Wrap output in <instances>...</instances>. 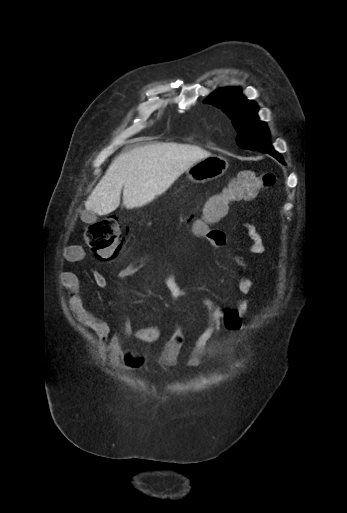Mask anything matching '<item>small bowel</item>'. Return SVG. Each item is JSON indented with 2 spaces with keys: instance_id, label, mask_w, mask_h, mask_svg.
Masks as SVG:
<instances>
[{
  "instance_id": "small-bowel-1",
  "label": "small bowel",
  "mask_w": 347,
  "mask_h": 513,
  "mask_svg": "<svg viewBox=\"0 0 347 513\" xmlns=\"http://www.w3.org/2000/svg\"><path fill=\"white\" fill-rule=\"evenodd\" d=\"M248 249L255 254H263L266 251L263 239L253 223H246ZM196 237L209 242L215 248L224 247L227 244L226 232L217 227H211L201 233H194ZM84 255L80 246H72L67 250V261H78ZM147 256L138 257L119 271V278L127 279L132 277L139 268L147 262ZM94 283L101 288L107 286V280L101 273L92 275ZM59 282L67 292L68 307L75 320L86 329L91 330L101 348L107 349L109 359L122 368L136 370L145 364L143 352H125L123 343L128 339H136L141 343L152 345L158 342L164 335L161 326H146L134 328L127 320L122 324L121 330L111 334L109 323L91 313L83 303L80 295V281L74 273L62 271L59 274ZM163 283L172 297L185 295V289L179 284L176 276L167 271L163 275ZM253 288L252 281L245 275H238L235 283L236 301L234 306H221L212 299L206 298L203 303L207 310V324L205 329L198 336L187 353L186 365L189 368L198 367L204 357H213L218 351L214 339L223 331L239 330L242 327V319L249 311L248 296ZM185 336L183 328L174 323L173 332L164 343L161 352L157 357V363L161 368H172L176 366L183 355Z\"/></svg>"
}]
</instances>
